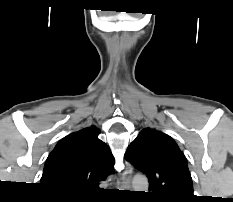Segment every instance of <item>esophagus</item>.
Returning a JSON list of instances; mask_svg holds the SVG:
<instances>
[{
    "label": "esophagus",
    "mask_w": 233,
    "mask_h": 202,
    "mask_svg": "<svg viewBox=\"0 0 233 202\" xmlns=\"http://www.w3.org/2000/svg\"><path fill=\"white\" fill-rule=\"evenodd\" d=\"M131 179H132V166L130 163L126 162L125 169L121 175L122 186L130 188Z\"/></svg>",
    "instance_id": "esophagus-1"
}]
</instances>
